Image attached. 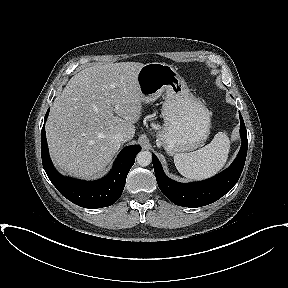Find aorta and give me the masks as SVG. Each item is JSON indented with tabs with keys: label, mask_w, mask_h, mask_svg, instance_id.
Segmentation results:
<instances>
[{
	"label": "aorta",
	"mask_w": 288,
	"mask_h": 288,
	"mask_svg": "<svg viewBox=\"0 0 288 288\" xmlns=\"http://www.w3.org/2000/svg\"><path fill=\"white\" fill-rule=\"evenodd\" d=\"M137 163L142 166H148L152 161V155L149 151H141L136 156Z\"/></svg>",
	"instance_id": "762f6f07"
}]
</instances>
